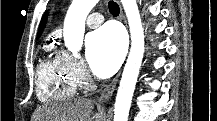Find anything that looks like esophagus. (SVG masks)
Listing matches in <instances>:
<instances>
[{"label":"esophagus","instance_id":"1","mask_svg":"<svg viewBox=\"0 0 217 121\" xmlns=\"http://www.w3.org/2000/svg\"><path fill=\"white\" fill-rule=\"evenodd\" d=\"M120 16H121L124 24L127 26L126 19H125V16H124V13H123L121 6H120ZM119 77H120V73H118L116 75V77L109 83V85L103 90V92L101 93V95L99 97L100 103H107L111 99V97H112V95L116 89L117 83L119 81Z\"/></svg>","mask_w":217,"mask_h":121}]
</instances>
